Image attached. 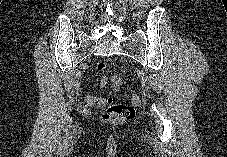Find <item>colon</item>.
Listing matches in <instances>:
<instances>
[{"mask_svg":"<svg viewBox=\"0 0 227 157\" xmlns=\"http://www.w3.org/2000/svg\"><path fill=\"white\" fill-rule=\"evenodd\" d=\"M108 67L107 62L101 61L97 65V72L101 73ZM130 101L132 105L122 104V103H113L112 97L106 98H96L89 97L88 102L96 108L106 107V112L103 114V119L106 121H118V120H131L135 116L134 106L141 104V98L132 94L130 96Z\"/></svg>","mask_w":227,"mask_h":157,"instance_id":"colon-1","label":"colon"}]
</instances>
